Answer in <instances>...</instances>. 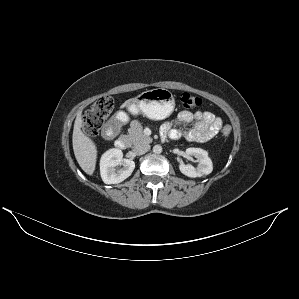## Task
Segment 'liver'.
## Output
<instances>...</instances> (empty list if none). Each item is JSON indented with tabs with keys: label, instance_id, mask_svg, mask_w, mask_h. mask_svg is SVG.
Returning <instances> with one entry per match:
<instances>
[{
	"label": "liver",
	"instance_id": "1",
	"mask_svg": "<svg viewBox=\"0 0 299 299\" xmlns=\"http://www.w3.org/2000/svg\"><path fill=\"white\" fill-rule=\"evenodd\" d=\"M133 99L126 101L122 107L127 106ZM82 115L78 113L73 129L72 143L76 160L82 170L88 175H92L95 171L97 149L94 142L86 136L82 130Z\"/></svg>",
	"mask_w": 299,
	"mask_h": 299
}]
</instances>
